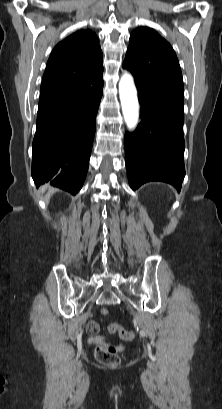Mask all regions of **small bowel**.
<instances>
[{
	"mask_svg": "<svg viewBox=\"0 0 222 409\" xmlns=\"http://www.w3.org/2000/svg\"><path fill=\"white\" fill-rule=\"evenodd\" d=\"M97 330H98V323L95 321H91L88 324V329H87V331L91 334L89 342L94 345H106L107 344L106 337L96 334Z\"/></svg>",
	"mask_w": 222,
	"mask_h": 409,
	"instance_id": "1",
	"label": "small bowel"
}]
</instances>
